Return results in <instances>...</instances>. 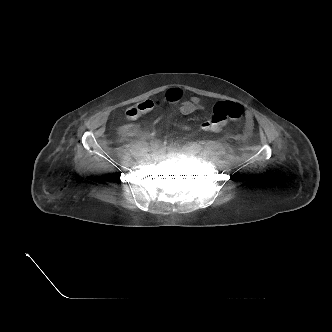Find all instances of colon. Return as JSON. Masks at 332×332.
<instances>
[{"instance_id":"obj_1","label":"colon","mask_w":332,"mask_h":332,"mask_svg":"<svg viewBox=\"0 0 332 332\" xmlns=\"http://www.w3.org/2000/svg\"><path fill=\"white\" fill-rule=\"evenodd\" d=\"M166 99L174 101L178 99V94L168 92ZM161 102L159 100H144L129 107L125 112V117L128 120H134L144 114H147L159 107ZM246 116V111L240 104L222 101L214 105L210 117L201 123L200 129L206 132H218L228 121L241 120ZM175 126L183 130H191V127L174 121Z\"/></svg>"}]
</instances>
